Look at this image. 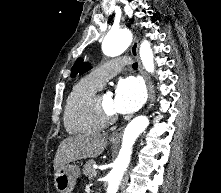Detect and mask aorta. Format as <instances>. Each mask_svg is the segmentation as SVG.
Segmentation results:
<instances>
[{"label": "aorta", "mask_w": 221, "mask_h": 193, "mask_svg": "<svg viewBox=\"0 0 221 193\" xmlns=\"http://www.w3.org/2000/svg\"><path fill=\"white\" fill-rule=\"evenodd\" d=\"M132 36L127 29L110 31L104 38L102 49L107 56H117L123 53L131 44ZM143 67L148 72L154 71V56L151 45L144 40L139 49ZM149 120L146 116L134 118L125 128L122 139V147L113 168L107 175V193H117L123 174L127 170L132 154V147L138 136L147 128Z\"/></svg>", "instance_id": "obj_1"}]
</instances>
